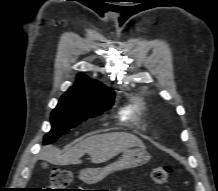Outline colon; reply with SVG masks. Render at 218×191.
<instances>
[{
  "label": "colon",
  "mask_w": 218,
  "mask_h": 191,
  "mask_svg": "<svg viewBox=\"0 0 218 191\" xmlns=\"http://www.w3.org/2000/svg\"><path fill=\"white\" fill-rule=\"evenodd\" d=\"M169 166H159L151 171V178L156 184H165L171 175ZM72 172L70 170H54L50 175V191H71L68 186L72 182Z\"/></svg>",
  "instance_id": "obj_1"
}]
</instances>
